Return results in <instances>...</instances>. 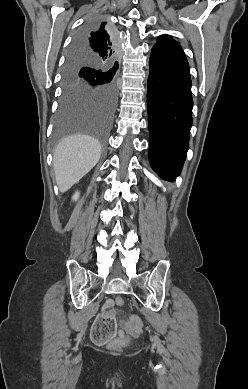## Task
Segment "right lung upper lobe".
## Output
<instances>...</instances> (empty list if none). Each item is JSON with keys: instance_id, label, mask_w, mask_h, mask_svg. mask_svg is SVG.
I'll list each match as a JSON object with an SVG mask.
<instances>
[{"instance_id": "1", "label": "right lung upper lobe", "mask_w": 248, "mask_h": 389, "mask_svg": "<svg viewBox=\"0 0 248 389\" xmlns=\"http://www.w3.org/2000/svg\"><path fill=\"white\" fill-rule=\"evenodd\" d=\"M76 43H80L78 48L91 57L97 58L109 64L112 69L117 70L119 47L118 44L113 45L106 23H102L98 29L87 33Z\"/></svg>"}]
</instances>
